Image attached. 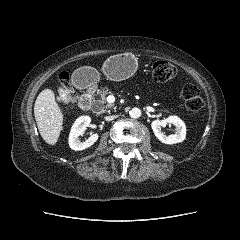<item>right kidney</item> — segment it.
<instances>
[{
  "mask_svg": "<svg viewBox=\"0 0 240 240\" xmlns=\"http://www.w3.org/2000/svg\"><path fill=\"white\" fill-rule=\"evenodd\" d=\"M91 118L89 116H81L74 122L69 134V146L75 151L84 150L92 146L99 138L98 134L91 135L86 141L80 142L78 137L83 134L87 126H89Z\"/></svg>",
  "mask_w": 240,
  "mask_h": 240,
  "instance_id": "1",
  "label": "right kidney"
}]
</instances>
